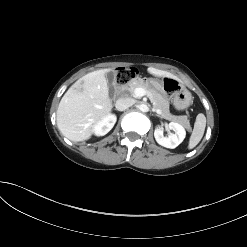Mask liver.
<instances>
[{
	"instance_id": "liver-1",
	"label": "liver",
	"mask_w": 247,
	"mask_h": 247,
	"mask_svg": "<svg viewBox=\"0 0 247 247\" xmlns=\"http://www.w3.org/2000/svg\"><path fill=\"white\" fill-rule=\"evenodd\" d=\"M108 71L111 69L86 74L62 97L57 109V126L69 140L79 142L89 139L94 125L110 114L112 102L105 77ZM148 72L156 77H169L180 81L172 73L153 67H149Z\"/></svg>"
}]
</instances>
